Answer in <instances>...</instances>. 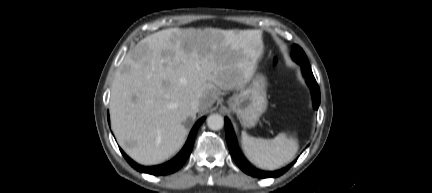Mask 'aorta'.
Instances as JSON below:
<instances>
[{
  "instance_id": "1",
  "label": "aorta",
  "mask_w": 432,
  "mask_h": 193,
  "mask_svg": "<svg viewBox=\"0 0 432 193\" xmlns=\"http://www.w3.org/2000/svg\"><path fill=\"white\" fill-rule=\"evenodd\" d=\"M207 126L211 130H220L224 126V118L219 114H211L207 118Z\"/></svg>"
}]
</instances>
